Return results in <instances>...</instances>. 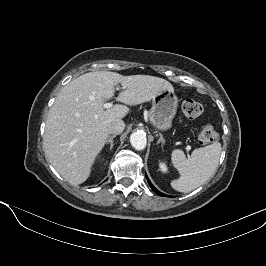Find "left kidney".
<instances>
[{"mask_svg": "<svg viewBox=\"0 0 266 266\" xmlns=\"http://www.w3.org/2000/svg\"><path fill=\"white\" fill-rule=\"evenodd\" d=\"M160 170L164 173H166L168 171L167 165L164 162H161L159 164Z\"/></svg>", "mask_w": 266, "mask_h": 266, "instance_id": "obj_1", "label": "left kidney"}]
</instances>
